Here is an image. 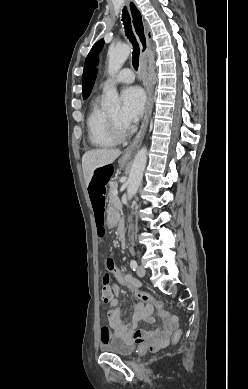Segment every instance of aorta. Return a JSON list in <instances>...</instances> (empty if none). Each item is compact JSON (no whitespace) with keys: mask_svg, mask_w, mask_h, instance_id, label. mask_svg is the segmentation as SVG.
Here are the masks:
<instances>
[{"mask_svg":"<svg viewBox=\"0 0 248 389\" xmlns=\"http://www.w3.org/2000/svg\"><path fill=\"white\" fill-rule=\"evenodd\" d=\"M130 47L127 44L118 45L110 48L108 51V73L109 75L116 74L130 54ZM105 107L109 110H118L120 108V100L115 87H110L106 90ZM147 163V148L142 147L135 155L130 175L127 181V198L131 200L137 193L138 187L143 177V172Z\"/></svg>","mask_w":248,"mask_h":389,"instance_id":"aorta-1","label":"aorta"}]
</instances>
